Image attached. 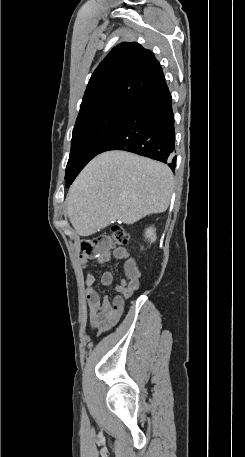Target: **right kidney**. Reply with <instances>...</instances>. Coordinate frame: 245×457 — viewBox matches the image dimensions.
I'll return each instance as SVG.
<instances>
[{
	"instance_id": "ca27d5eb",
	"label": "right kidney",
	"mask_w": 245,
	"mask_h": 457,
	"mask_svg": "<svg viewBox=\"0 0 245 457\" xmlns=\"http://www.w3.org/2000/svg\"><path fill=\"white\" fill-rule=\"evenodd\" d=\"M145 237H147V239H150L151 243H154V241H156L155 229H152V226H150V229H146Z\"/></svg>"
}]
</instances>
